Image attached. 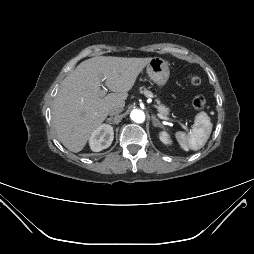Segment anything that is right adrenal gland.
Segmentation results:
<instances>
[{"mask_svg":"<svg viewBox=\"0 0 254 254\" xmlns=\"http://www.w3.org/2000/svg\"><path fill=\"white\" fill-rule=\"evenodd\" d=\"M112 119H113V117L111 116L110 118H108V119L106 120V122H111Z\"/></svg>","mask_w":254,"mask_h":254,"instance_id":"obj_1","label":"right adrenal gland"}]
</instances>
